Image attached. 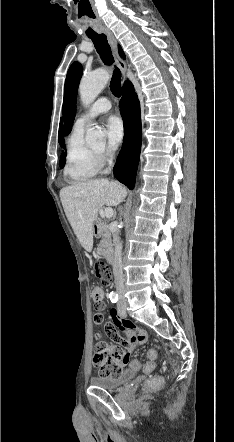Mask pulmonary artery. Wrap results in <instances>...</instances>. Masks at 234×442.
Masks as SVG:
<instances>
[{
  "instance_id": "1",
  "label": "pulmonary artery",
  "mask_w": 234,
  "mask_h": 442,
  "mask_svg": "<svg viewBox=\"0 0 234 442\" xmlns=\"http://www.w3.org/2000/svg\"><path fill=\"white\" fill-rule=\"evenodd\" d=\"M110 109L111 102L109 99L105 97L97 99L85 113L79 116L75 122V127L83 129L89 120L95 118L101 113L107 112Z\"/></svg>"
}]
</instances>
